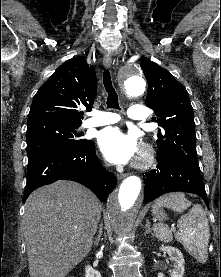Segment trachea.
Wrapping results in <instances>:
<instances>
[{
	"instance_id": "obj_1",
	"label": "trachea",
	"mask_w": 221,
	"mask_h": 277,
	"mask_svg": "<svg viewBox=\"0 0 221 277\" xmlns=\"http://www.w3.org/2000/svg\"><path fill=\"white\" fill-rule=\"evenodd\" d=\"M103 84L108 93L107 107L119 109L118 95L112 85L110 72L108 70H105L103 73Z\"/></svg>"
}]
</instances>
